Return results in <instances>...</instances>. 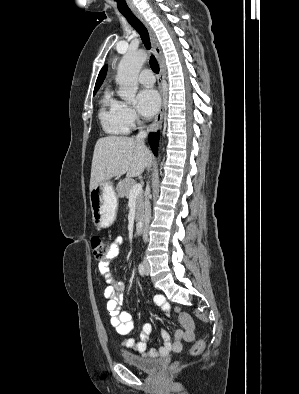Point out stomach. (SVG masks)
I'll return each instance as SVG.
<instances>
[{"label":"stomach","instance_id":"stomach-1","mask_svg":"<svg viewBox=\"0 0 299 394\" xmlns=\"http://www.w3.org/2000/svg\"><path fill=\"white\" fill-rule=\"evenodd\" d=\"M90 205L93 223L98 228H107L115 220L118 199L113 185L102 183L90 190Z\"/></svg>","mask_w":299,"mask_h":394}]
</instances>
